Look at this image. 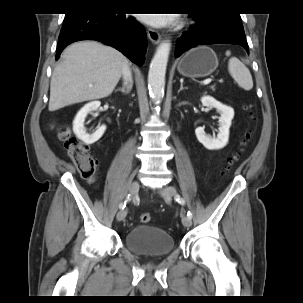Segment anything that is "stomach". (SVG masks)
Wrapping results in <instances>:
<instances>
[{
    "label": "stomach",
    "mask_w": 303,
    "mask_h": 303,
    "mask_svg": "<svg viewBox=\"0 0 303 303\" xmlns=\"http://www.w3.org/2000/svg\"><path fill=\"white\" fill-rule=\"evenodd\" d=\"M217 66L218 59L214 51L207 46H198L181 58L177 70L185 77L200 78L212 74Z\"/></svg>",
    "instance_id": "stomach-1"
}]
</instances>
